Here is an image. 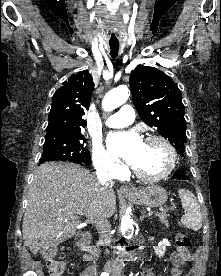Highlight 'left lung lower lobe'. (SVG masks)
<instances>
[{
  "instance_id": "0a47b994",
  "label": "left lung lower lobe",
  "mask_w": 221,
  "mask_h": 276,
  "mask_svg": "<svg viewBox=\"0 0 221 276\" xmlns=\"http://www.w3.org/2000/svg\"><path fill=\"white\" fill-rule=\"evenodd\" d=\"M173 179H178V180H180V179H188V177L186 176V174H185V170L184 169H182V170H177L175 173H174V175H173V177H172Z\"/></svg>"
}]
</instances>
